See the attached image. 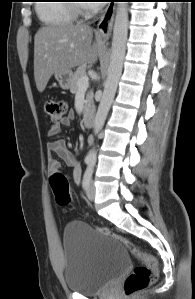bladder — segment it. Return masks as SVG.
<instances>
[{
  "label": "bladder",
  "instance_id": "bladder-1",
  "mask_svg": "<svg viewBox=\"0 0 195 299\" xmlns=\"http://www.w3.org/2000/svg\"><path fill=\"white\" fill-rule=\"evenodd\" d=\"M63 247L64 280L72 292L96 294L129 266L128 253L122 243L83 222L65 226Z\"/></svg>",
  "mask_w": 195,
  "mask_h": 299
}]
</instances>
